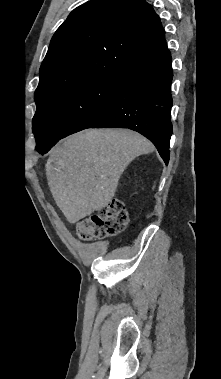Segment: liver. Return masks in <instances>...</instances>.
Returning <instances> with one entry per match:
<instances>
[{
	"label": "liver",
	"mask_w": 221,
	"mask_h": 379,
	"mask_svg": "<svg viewBox=\"0 0 221 379\" xmlns=\"http://www.w3.org/2000/svg\"><path fill=\"white\" fill-rule=\"evenodd\" d=\"M153 150L149 140L127 129H90L59 142L50 152L46 176L68 222L106 207L128 164Z\"/></svg>",
	"instance_id": "obj_1"
}]
</instances>
